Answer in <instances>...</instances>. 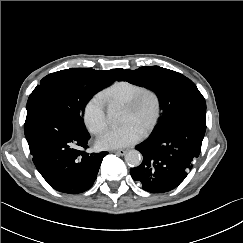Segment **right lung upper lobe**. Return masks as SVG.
<instances>
[{
  "instance_id": "obj_1",
  "label": "right lung upper lobe",
  "mask_w": 243,
  "mask_h": 243,
  "mask_svg": "<svg viewBox=\"0 0 243 243\" xmlns=\"http://www.w3.org/2000/svg\"><path fill=\"white\" fill-rule=\"evenodd\" d=\"M73 69H76L78 72L83 73L85 75L107 79L111 81V83L114 82L123 71V69H112L107 71L93 70L87 68H73Z\"/></svg>"
}]
</instances>
